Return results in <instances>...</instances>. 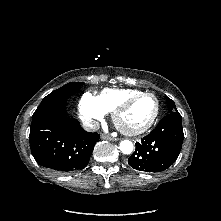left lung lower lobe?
<instances>
[{
  "instance_id": "obj_1",
  "label": "left lung lower lobe",
  "mask_w": 221,
  "mask_h": 221,
  "mask_svg": "<svg viewBox=\"0 0 221 221\" xmlns=\"http://www.w3.org/2000/svg\"><path fill=\"white\" fill-rule=\"evenodd\" d=\"M184 133L178 111L163 117L156 128L136 143L128 164L139 171L159 172L168 169L177 159Z\"/></svg>"
}]
</instances>
